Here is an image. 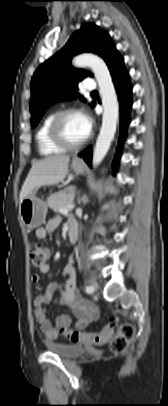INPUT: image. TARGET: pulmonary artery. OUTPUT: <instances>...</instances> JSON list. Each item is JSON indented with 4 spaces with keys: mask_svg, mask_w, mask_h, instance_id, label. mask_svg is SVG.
<instances>
[{
    "mask_svg": "<svg viewBox=\"0 0 168 406\" xmlns=\"http://www.w3.org/2000/svg\"><path fill=\"white\" fill-rule=\"evenodd\" d=\"M96 88V83L92 78H86L84 80V89L88 91H92Z\"/></svg>",
    "mask_w": 168,
    "mask_h": 406,
    "instance_id": "e3ab8cb5",
    "label": "pulmonary artery"
}]
</instances>
